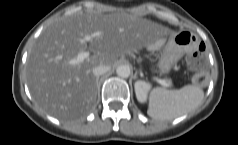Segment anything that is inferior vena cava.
Instances as JSON below:
<instances>
[{
	"label": "inferior vena cava",
	"mask_w": 238,
	"mask_h": 145,
	"mask_svg": "<svg viewBox=\"0 0 238 145\" xmlns=\"http://www.w3.org/2000/svg\"><path fill=\"white\" fill-rule=\"evenodd\" d=\"M110 69H111V67L108 66V65H98V66L93 68V74L96 77H99V76L107 73Z\"/></svg>",
	"instance_id": "obj_1"
}]
</instances>
